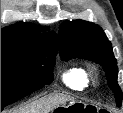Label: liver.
<instances>
[{
	"label": "liver",
	"instance_id": "obj_1",
	"mask_svg": "<svg viewBox=\"0 0 123 113\" xmlns=\"http://www.w3.org/2000/svg\"><path fill=\"white\" fill-rule=\"evenodd\" d=\"M70 100H72V98L61 95L43 97L23 108H20L15 113H49L59 105L65 104Z\"/></svg>",
	"mask_w": 123,
	"mask_h": 113
}]
</instances>
